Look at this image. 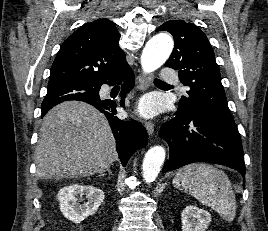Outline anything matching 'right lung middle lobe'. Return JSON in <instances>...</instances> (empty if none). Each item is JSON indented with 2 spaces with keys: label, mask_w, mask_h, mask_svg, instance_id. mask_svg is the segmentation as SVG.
I'll use <instances>...</instances> for the list:
<instances>
[{
  "label": "right lung middle lobe",
  "mask_w": 268,
  "mask_h": 231,
  "mask_svg": "<svg viewBox=\"0 0 268 231\" xmlns=\"http://www.w3.org/2000/svg\"><path fill=\"white\" fill-rule=\"evenodd\" d=\"M98 95V88L79 82H59L48 84L47 95L43 102L67 101L92 98Z\"/></svg>",
  "instance_id": "obj_1"
}]
</instances>
